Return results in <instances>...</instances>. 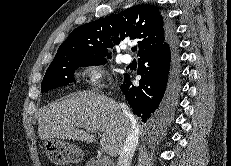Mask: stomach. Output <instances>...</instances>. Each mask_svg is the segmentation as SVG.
<instances>
[{
	"instance_id": "stomach-1",
	"label": "stomach",
	"mask_w": 231,
	"mask_h": 166,
	"mask_svg": "<svg viewBox=\"0 0 231 166\" xmlns=\"http://www.w3.org/2000/svg\"><path fill=\"white\" fill-rule=\"evenodd\" d=\"M44 146L50 160L57 165L79 163L84 157V153L79 146L61 139L47 140Z\"/></svg>"
}]
</instances>
